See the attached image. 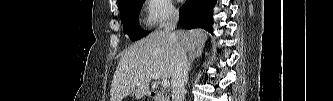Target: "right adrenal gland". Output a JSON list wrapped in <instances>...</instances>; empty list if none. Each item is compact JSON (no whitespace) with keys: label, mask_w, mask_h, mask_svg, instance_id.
<instances>
[{"label":"right adrenal gland","mask_w":333,"mask_h":101,"mask_svg":"<svg viewBox=\"0 0 333 101\" xmlns=\"http://www.w3.org/2000/svg\"><path fill=\"white\" fill-rule=\"evenodd\" d=\"M203 47L198 48L195 51H192L189 53V62H188V71L192 69V63L195 60V58L199 57L202 54Z\"/></svg>","instance_id":"2a0ac1e0"}]
</instances>
